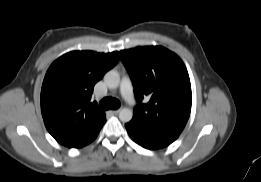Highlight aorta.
Instances as JSON below:
<instances>
[{
    "instance_id": "obj_1",
    "label": "aorta",
    "mask_w": 261,
    "mask_h": 182,
    "mask_svg": "<svg viewBox=\"0 0 261 182\" xmlns=\"http://www.w3.org/2000/svg\"><path fill=\"white\" fill-rule=\"evenodd\" d=\"M104 82L110 89H116L120 84V75L116 71H108L104 76ZM133 117V112L129 108H122L119 112V119L122 122H129Z\"/></svg>"
}]
</instances>
